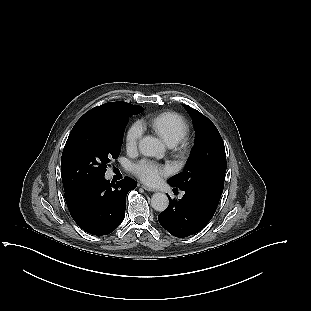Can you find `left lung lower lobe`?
<instances>
[{"instance_id":"obj_1","label":"left lung lower lobe","mask_w":311,"mask_h":311,"mask_svg":"<svg viewBox=\"0 0 311 311\" xmlns=\"http://www.w3.org/2000/svg\"><path fill=\"white\" fill-rule=\"evenodd\" d=\"M168 197L169 206L159 214L158 220L176 237H186L203 229L213 217L218 205L193 192H186L179 202Z\"/></svg>"}]
</instances>
